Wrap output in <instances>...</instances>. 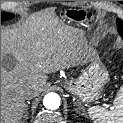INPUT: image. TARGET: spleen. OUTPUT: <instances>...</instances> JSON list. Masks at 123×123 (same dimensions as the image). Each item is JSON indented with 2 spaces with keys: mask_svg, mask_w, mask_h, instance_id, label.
Returning a JSON list of instances; mask_svg holds the SVG:
<instances>
[{
  "mask_svg": "<svg viewBox=\"0 0 123 123\" xmlns=\"http://www.w3.org/2000/svg\"><path fill=\"white\" fill-rule=\"evenodd\" d=\"M87 111L94 123H123V86L119 89L111 109L93 106Z\"/></svg>",
  "mask_w": 123,
  "mask_h": 123,
  "instance_id": "1",
  "label": "spleen"
}]
</instances>
